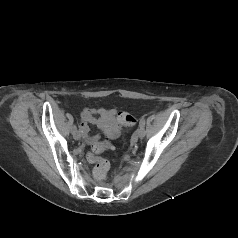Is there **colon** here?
Listing matches in <instances>:
<instances>
[{"mask_svg": "<svg viewBox=\"0 0 238 238\" xmlns=\"http://www.w3.org/2000/svg\"><path fill=\"white\" fill-rule=\"evenodd\" d=\"M118 122L120 124H123L125 126H133L135 124V117L133 115H130L128 113H120L118 115ZM108 145L101 144L97 146L94 150V153L89 154L88 158L91 162L95 163L94 169H93V174L94 177L98 180H102L106 177L110 165L109 162L103 158H99L95 155V153H99L106 149Z\"/></svg>", "mask_w": 238, "mask_h": 238, "instance_id": "colon-1", "label": "colon"}]
</instances>
